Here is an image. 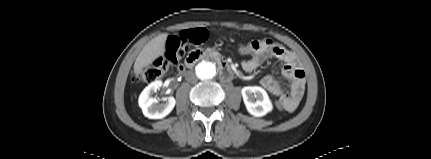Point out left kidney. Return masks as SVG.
Returning a JSON list of instances; mask_svg holds the SVG:
<instances>
[{"label":"left kidney","mask_w":431,"mask_h":159,"mask_svg":"<svg viewBox=\"0 0 431 159\" xmlns=\"http://www.w3.org/2000/svg\"><path fill=\"white\" fill-rule=\"evenodd\" d=\"M247 111L255 116L262 117L273 109L267 92L259 86H246L241 90Z\"/></svg>","instance_id":"1"}]
</instances>
